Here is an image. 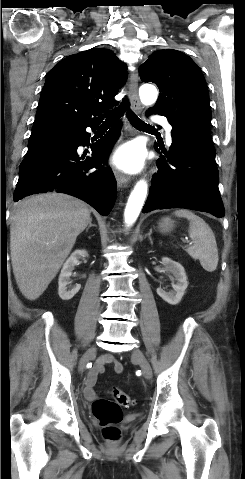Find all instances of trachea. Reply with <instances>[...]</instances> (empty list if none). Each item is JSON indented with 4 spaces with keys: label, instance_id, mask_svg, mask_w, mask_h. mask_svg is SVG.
<instances>
[{
    "label": "trachea",
    "instance_id": "3493384b",
    "mask_svg": "<svg viewBox=\"0 0 245 479\" xmlns=\"http://www.w3.org/2000/svg\"><path fill=\"white\" fill-rule=\"evenodd\" d=\"M129 107V103L128 101L125 99L123 104H122V107H119V108H116L115 110L112 111V117L110 118H107L104 122V124H112L113 123V117L114 116H118V115H121L125 110H127ZM127 118L129 119V121L131 122V124L135 127V128H138V129H150V128H153L152 126H150L149 124L145 123L144 121H142L140 118H138V116L133 112L131 111L130 109H128L127 111Z\"/></svg>",
    "mask_w": 245,
    "mask_h": 479
}]
</instances>
